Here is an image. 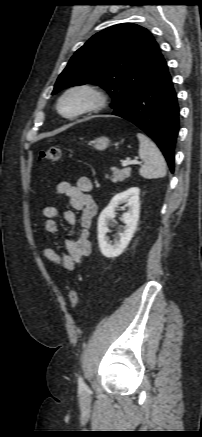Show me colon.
Segmentation results:
<instances>
[{
  "label": "colon",
  "mask_w": 202,
  "mask_h": 437,
  "mask_svg": "<svg viewBox=\"0 0 202 437\" xmlns=\"http://www.w3.org/2000/svg\"><path fill=\"white\" fill-rule=\"evenodd\" d=\"M62 155V149L59 146H53L43 149L39 153V160L41 161H56ZM69 303L72 308H76L79 304V294L75 289L69 292Z\"/></svg>",
  "instance_id": "1"
}]
</instances>
